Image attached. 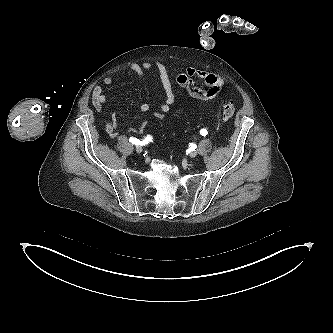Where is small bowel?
<instances>
[{"label":"small bowel","mask_w":333,"mask_h":333,"mask_svg":"<svg viewBox=\"0 0 333 333\" xmlns=\"http://www.w3.org/2000/svg\"><path fill=\"white\" fill-rule=\"evenodd\" d=\"M129 69L139 77H144L147 71L156 69L165 93V97L160 105V110L154 112L153 115L158 119L163 118L164 114L168 113L171 106L177 101L173 84L166 66L161 62L152 63L146 61L141 64L132 63L130 64ZM197 80L202 81L205 88L199 87L196 84ZM103 82L106 86H110L113 84V78L111 76H107ZM176 82L181 88L185 89L191 97L207 103H210L218 95L223 85V80L219 75L196 68H187L186 70L180 72L176 77ZM105 102L106 95L104 94L103 88L100 85H97L92 92V104L96 111L100 112ZM140 109L142 112H147L149 110V106L147 104H142ZM146 127L147 122L143 121L139 126L130 128V131L143 132ZM104 128L105 132L111 139L118 137L119 133L115 120H107Z\"/></svg>","instance_id":"obj_1"}]
</instances>
